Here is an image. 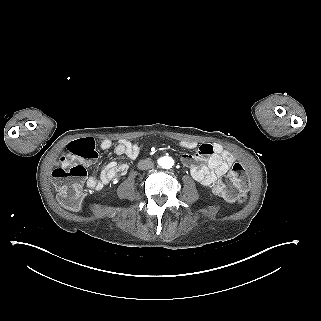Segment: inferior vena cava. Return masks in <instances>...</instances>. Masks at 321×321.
I'll use <instances>...</instances> for the list:
<instances>
[{"instance_id": "1", "label": "inferior vena cava", "mask_w": 321, "mask_h": 321, "mask_svg": "<svg viewBox=\"0 0 321 321\" xmlns=\"http://www.w3.org/2000/svg\"><path fill=\"white\" fill-rule=\"evenodd\" d=\"M153 166H154V163L151 160H140L138 163V168L140 170L151 169Z\"/></svg>"}]
</instances>
